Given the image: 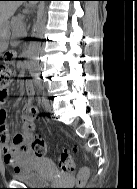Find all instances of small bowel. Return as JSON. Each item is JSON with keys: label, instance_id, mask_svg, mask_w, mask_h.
<instances>
[{"label": "small bowel", "instance_id": "c3829d8e", "mask_svg": "<svg viewBox=\"0 0 137 189\" xmlns=\"http://www.w3.org/2000/svg\"><path fill=\"white\" fill-rule=\"evenodd\" d=\"M20 73H23V68L19 66ZM26 92L29 96H32L35 92L34 83L28 82L26 84ZM6 103V96L0 98V146L2 148L4 162L10 166L15 172H19L22 168L30 165L34 160L31 151L27 148L25 141L29 137L28 133L35 128L34 119L32 116L25 114L24 131L11 136L7 124V114L4 108ZM32 104L29 101L27 107ZM26 107V108H27Z\"/></svg>", "mask_w": 137, "mask_h": 189}]
</instances>
